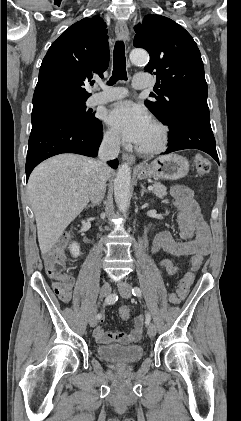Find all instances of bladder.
Wrapping results in <instances>:
<instances>
[{
  "mask_svg": "<svg viewBox=\"0 0 241 421\" xmlns=\"http://www.w3.org/2000/svg\"><path fill=\"white\" fill-rule=\"evenodd\" d=\"M98 356L109 363L116 365H129L140 361L144 355L141 345H99L97 347Z\"/></svg>",
  "mask_w": 241,
  "mask_h": 421,
  "instance_id": "bladder-1",
  "label": "bladder"
}]
</instances>
